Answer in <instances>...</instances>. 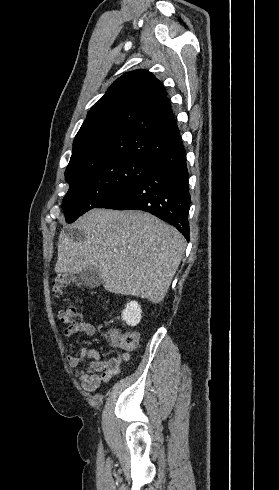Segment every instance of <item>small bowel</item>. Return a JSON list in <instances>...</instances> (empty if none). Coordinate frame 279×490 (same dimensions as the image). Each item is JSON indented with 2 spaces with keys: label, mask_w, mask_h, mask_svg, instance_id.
Masks as SVG:
<instances>
[{
  "label": "small bowel",
  "mask_w": 279,
  "mask_h": 490,
  "mask_svg": "<svg viewBox=\"0 0 279 490\" xmlns=\"http://www.w3.org/2000/svg\"><path fill=\"white\" fill-rule=\"evenodd\" d=\"M82 333L85 336H93L95 327L87 322L67 327L63 335L67 340L72 339L76 334ZM86 359L91 360L89 368H84ZM131 355L128 352H120L108 360H103L100 353L95 349L82 346L77 355H68L67 362L74 369L75 377L78 378L82 386L87 391L96 390L102 381L110 380L114 375L121 371L124 363L129 362Z\"/></svg>",
  "instance_id": "small-bowel-1"
}]
</instances>
